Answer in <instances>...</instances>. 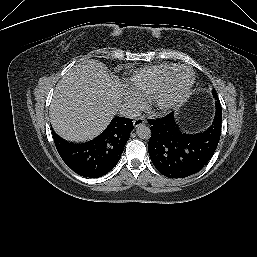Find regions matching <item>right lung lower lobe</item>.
Here are the masks:
<instances>
[{
  "instance_id": "obj_1",
  "label": "right lung lower lobe",
  "mask_w": 257,
  "mask_h": 257,
  "mask_svg": "<svg viewBox=\"0 0 257 257\" xmlns=\"http://www.w3.org/2000/svg\"><path fill=\"white\" fill-rule=\"evenodd\" d=\"M133 128L132 119L115 117L99 136L79 144L52 133L56 149L69 168L83 177L98 178L117 165Z\"/></svg>"
}]
</instances>
